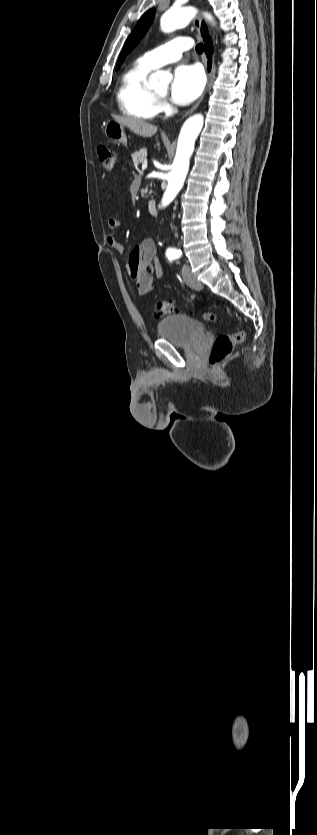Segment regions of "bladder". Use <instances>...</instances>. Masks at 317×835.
Wrapping results in <instances>:
<instances>
[{"label": "bladder", "mask_w": 317, "mask_h": 835, "mask_svg": "<svg viewBox=\"0 0 317 835\" xmlns=\"http://www.w3.org/2000/svg\"><path fill=\"white\" fill-rule=\"evenodd\" d=\"M204 333L205 326L202 322L182 314L168 315L157 325L159 338L180 346L192 344Z\"/></svg>", "instance_id": "bladder-1"}]
</instances>
